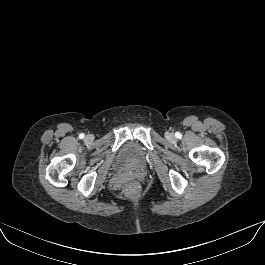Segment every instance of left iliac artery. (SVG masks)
Returning <instances> with one entry per match:
<instances>
[{"label": "left iliac artery", "instance_id": "left-iliac-artery-1", "mask_svg": "<svg viewBox=\"0 0 265 265\" xmlns=\"http://www.w3.org/2000/svg\"><path fill=\"white\" fill-rule=\"evenodd\" d=\"M176 136H177V138H180L181 137V134L178 133Z\"/></svg>", "mask_w": 265, "mask_h": 265}]
</instances>
